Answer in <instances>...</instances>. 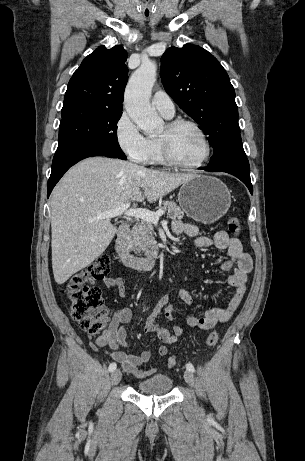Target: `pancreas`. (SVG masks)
I'll return each mask as SVG.
<instances>
[{
  "mask_svg": "<svg viewBox=\"0 0 305 461\" xmlns=\"http://www.w3.org/2000/svg\"><path fill=\"white\" fill-rule=\"evenodd\" d=\"M159 210L167 211V215L171 219H182L184 212L175 202L165 201L162 206L158 207ZM124 249L130 251H143L145 253H152L157 249L156 241L154 239V231L152 222L141 220L133 227L129 238L126 240Z\"/></svg>",
  "mask_w": 305,
  "mask_h": 461,
  "instance_id": "obj_1",
  "label": "pancreas"
}]
</instances>
